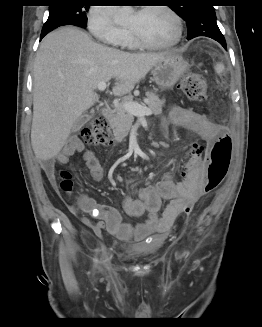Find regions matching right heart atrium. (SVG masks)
<instances>
[{
	"instance_id": "right-heart-atrium-1",
	"label": "right heart atrium",
	"mask_w": 262,
	"mask_h": 327,
	"mask_svg": "<svg viewBox=\"0 0 262 327\" xmlns=\"http://www.w3.org/2000/svg\"><path fill=\"white\" fill-rule=\"evenodd\" d=\"M87 27L97 41L113 47L124 46L128 31L114 22L109 7L92 6L87 14Z\"/></svg>"
}]
</instances>
